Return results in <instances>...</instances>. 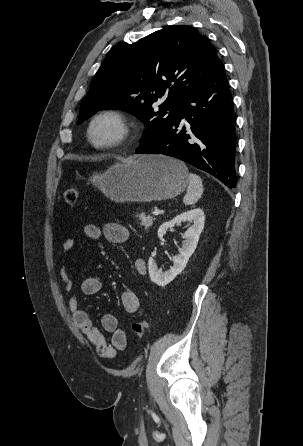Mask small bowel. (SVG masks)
Masks as SVG:
<instances>
[{"mask_svg":"<svg viewBox=\"0 0 303 446\" xmlns=\"http://www.w3.org/2000/svg\"><path fill=\"white\" fill-rule=\"evenodd\" d=\"M84 235L88 241H99L104 237L111 244L125 243L129 238V230L124 225L117 222H108L101 229L94 224L84 226ZM75 245L73 238L67 237L62 242V249L65 253L70 252ZM134 270L138 277H144L147 272V265L144 259L137 258L134 261ZM60 278L67 291L73 287L71 276L65 266L60 269ZM102 288L101 280L96 276H88L83 279L80 285L81 292L84 295H93ZM123 308L128 313H135L139 309V298L135 292L126 290L121 295ZM69 310L78 329L85 334L88 341L94 346L98 355L104 358L112 359L118 351L124 350L127 346V335L119 326L115 315L107 313L101 317V327L104 331L110 333L107 340L100 329L93 325L88 313L79 305L76 295L69 300Z\"/></svg>","mask_w":303,"mask_h":446,"instance_id":"c3829d8e","label":"small bowel"}]
</instances>
